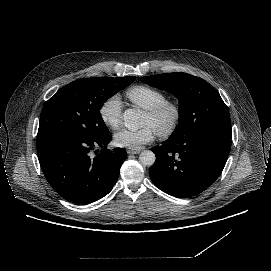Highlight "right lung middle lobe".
<instances>
[{"label":"right lung middle lobe","mask_w":271,"mask_h":271,"mask_svg":"<svg viewBox=\"0 0 271 271\" xmlns=\"http://www.w3.org/2000/svg\"><path fill=\"white\" fill-rule=\"evenodd\" d=\"M136 77L82 78L61 88L44 105L38 135L62 132L96 138L109 131L100 109Z\"/></svg>","instance_id":"right-lung-middle-lobe-1"}]
</instances>
